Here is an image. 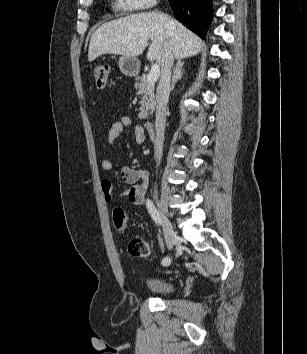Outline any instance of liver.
<instances>
[{
	"mask_svg": "<svg viewBox=\"0 0 307 354\" xmlns=\"http://www.w3.org/2000/svg\"><path fill=\"white\" fill-rule=\"evenodd\" d=\"M148 40L151 44L147 59L159 65L166 44H170L176 59L195 56L205 46L197 35L170 16L147 12L101 25L91 37L88 60L94 61L103 54L137 57L147 47Z\"/></svg>",
	"mask_w": 307,
	"mask_h": 354,
	"instance_id": "obj_1",
	"label": "liver"
}]
</instances>
